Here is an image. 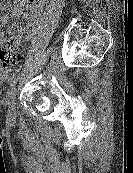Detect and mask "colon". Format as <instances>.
I'll list each match as a JSON object with an SVG mask.
<instances>
[{"label":"colon","instance_id":"obj_1","mask_svg":"<svg viewBox=\"0 0 133 173\" xmlns=\"http://www.w3.org/2000/svg\"><path fill=\"white\" fill-rule=\"evenodd\" d=\"M22 43L23 37L15 35L5 46L0 47V80H4L20 61Z\"/></svg>","mask_w":133,"mask_h":173}]
</instances>
